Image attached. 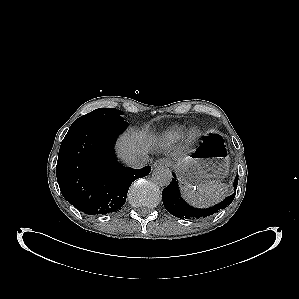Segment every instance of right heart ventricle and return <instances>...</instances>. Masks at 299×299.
Listing matches in <instances>:
<instances>
[{
	"label": "right heart ventricle",
	"mask_w": 299,
	"mask_h": 299,
	"mask_svg": "<svg viewBox=\"0 0 299 299\" xmlns=\"http://www.w3.org/2000/svg\"><path fill=\"white\" fill-rule=\"evenodd\" d=\"M185 133V127L181 125H174L163 131L159 137L158 142L161 144L171 143L181 138Z\"/></svg>",
	"instance_id": "e07e8e85"
}]
</instances>
